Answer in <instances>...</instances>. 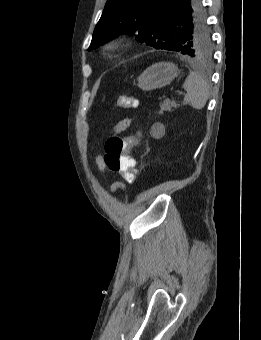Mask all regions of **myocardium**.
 <instances>
[{"mask_svg": "<svg viewBox=\"0 0 261 340\" xmlns=\"http://www.w3.org/2000/svg\"><path fill=\"white\" fill-rule=\"evenodd\" d=\"M121 46L120 41L118 40H110L104 45V50L106 52H114L118 50Z\"/></svg>", "mask_w": 261, "mask_h": 340, "instance_id": "1", "label": "myocardium"}]
</instances>
